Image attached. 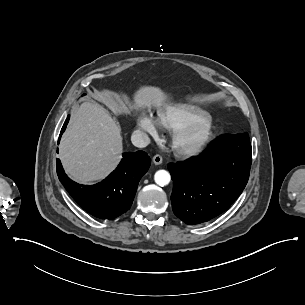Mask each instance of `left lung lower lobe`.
<instances>
[{
  "instance_id": "1",
  "label": "left lung lower lobe",
  "mask_w": 305,
  "mask_h": 305,
  "mask_svg": "<svg viewBox=\"0 0 305 305\" xmlns=\"http://www.w3.org/2000/svg\"><path fill=\"white\" fill-rule=\"evenodd\" d=\"M251 168L248 133L225 134L198 157L170 163L174 214L188 225L226 211L244 190Z\"/></svg>"
}]
</instances>
